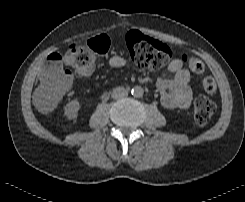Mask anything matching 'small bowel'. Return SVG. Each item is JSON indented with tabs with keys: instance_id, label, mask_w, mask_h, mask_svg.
<instances>
[{
	"instance_id": "1",
	"label": "small bowel",
	"mask_w": 245,
	"mask_h": 202,
	"mask_svg": "<svg viewBox=\"0 0 245 202\" xmlns=\"http://www.w3.org/2000/svg\"><path fill=\"white\" fill-rule=\"evenodd\" d=\"M108 64L112 68H120L127 64V60L122 56L115 55L109 59ZM93 71L94 67H91L83 75H90ZM168 71L173 74L172 77L160 76L157 79V88L161 93L162 105L169 110L189 107L192 101L189 70L184 67L181 58H174L168 65ZM39 88L40 86L36 92L37 96Z\"/></svg>"
}]
</instances>
